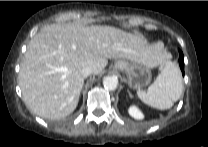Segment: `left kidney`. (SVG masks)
<instances>
[{"label": "left kidney", "mask_w": 208, "mask_h": 147, "mask_svg": "<svg viewBox=\"0 0 208 147\" xmlns=\"http://www.w3.org/2000/svg\"><path fill=\"white\" fill-rule=\"evenodd\" d=\"M128 112L130 114V116H132L135 119H143L144 115L142 114V112L136 107V106H131L128 109Z\"/></svg>", "instance_id": "obj_1"}]
</instances>
